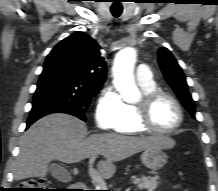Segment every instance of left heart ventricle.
I'll return each mask as SVG.
<instances>
[{
	"instance_id": "1",
	"label": "left heart ventricle",
	"mask_w": 218,
	"mask_h": 191,
	"mask_svg": "<svg viewBox=\"0 0 218 191\" xmlns=\"http://www.w3.org/2000/svg\"><path fill=\"white\" fill-rule=\"evenodd\" d=\"M151 117L156 127L169 129L178 123L176 106L167 98H159L153 105Z\"/></svg>"
}]
</instances>
